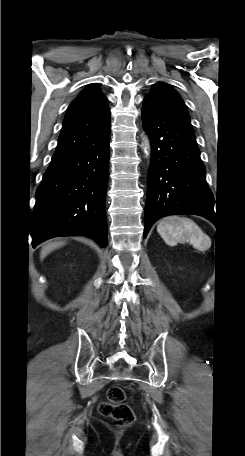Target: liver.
<instances>
[{
	"label": "liver",
	"instance_id": "6515ba94",
	"mask_svg": "<svg viewBox=\"0 0 245 456\" xmlns=\"http://www.w3.org/2000/svg\"><path fill=\"white\" fill-rule=\"evenodd\" d=\"M62 245H64L63 241L51 242V243H48V244L44 245L42 247L41 253H40L41 260H43L49 253H51L53 250L61 247Z\"/></svg>",
	"mask_w": 245,
	"mask_h": 456
}]
</instances>
